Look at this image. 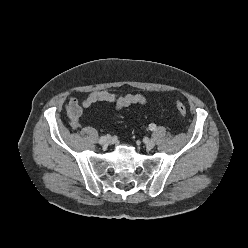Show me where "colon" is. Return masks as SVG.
<instances>
[{"label": "colon", "instance_id": "colon-1", "mask_svg": "<svg viewBox=\"0 0 248 248\" xmlns=\"http://www.w3.org/2000/svg\"><path fill=\"white\" fill-rule=\"evenodd\" d=\"M176 108L182 116H185L187 114V108L182 102L178 101L176 103Z\"/></svg>", "mask_w": 248, "mask_h": 248}]
</instances>
